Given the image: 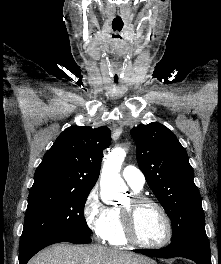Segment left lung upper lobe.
<instances>
[{"label": "left lung upper lobe", "mask_w": 221, "mask_h": 264, "mask_svg": "<svg viewBox=\"0 0 221 264\" xmlns=\"http://www.w3.org/2000/svg\"><path fill=\"white\" fill-rule=\"evenodd\" d=\"M137 161L147 184L172 223V242L206 236L201 196L186 150L176 136L160 123L131 129Z\"/></svg>", "instance_id": "5c2ea615"}]
</instances>
